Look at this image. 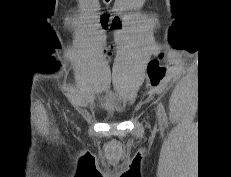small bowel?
Listing matches in <instances>:
<instances>
[{"label":"small bowel","instance_id":"c3829d8e","mask_svg":"<svg viewBox=\"0 0 231 177\" xmlns=\"http://www.w3.org/2000/svg\"><path fill=\"white\" fill-rule=\"evenodd\" d=\"M106 22H107V19L104 18V19L102 20V23L105 24Z\"/></svg>","mask_w":231,"mask_h":177}]
</instances>
